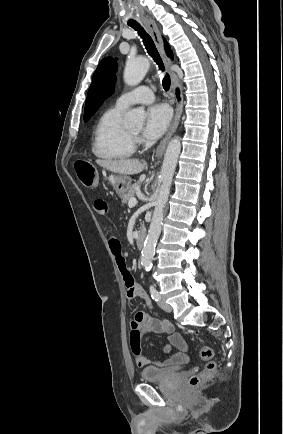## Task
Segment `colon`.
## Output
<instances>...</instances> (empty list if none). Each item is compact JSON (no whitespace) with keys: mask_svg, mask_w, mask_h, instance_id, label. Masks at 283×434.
Here are the masks:
<instances>
[{"mask_svg":"<svg viewBox=\"0 0 283 434\" xmlns=\"http://www.w3.org/2000/svg\"><path fill=\"white\" fill-rule=\"evenodd\" d=\"M75 170L80 182L87 188H94L98 184V173L93 165L88 162H77L75 164ZM199 357L206 361V365L203 370L190 378L189 384L192 387H196L208 380H211L216 372L217 365L214 361H211L213 357V349L209 346H204L199 350Z\"/></svg>","mask_w":283,"mask_h":434,"instance_id":"1","label":"colon"}]
</instances>
